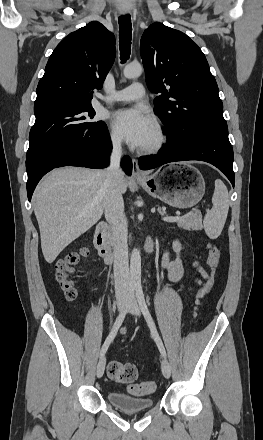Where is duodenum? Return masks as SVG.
I'll list each match as a JSON object with an SVG mask.
<instances>
[{
    "label": "duodenum",
    "instance_id": "1",
    "mask_svg": "<svg viewBox=\"0 0 263 440\" xmlns=\"http://www.w3.org/2000/svg\"><path fill=\"white\" fill-rule=\"evenodd\" d=\"M107 228L108 225L105 222H100L97 225L94 234L93 243L100 257H102L105 260V262L110 264L114 261V257H113L112 249L107 240ZM146 250L148 252L152 251L151 243H147Z\"/></svg>",
    "mask_w": 263,
    "mask_h": 440
}]
</instances>
